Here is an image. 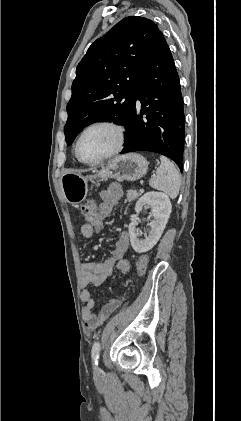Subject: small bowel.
<instances>
[{
  "mask_svg": "<svg viewBox=\"0 0 241 421\" xmlns=\"http://www.w3.org/2000/svg\"><path fill=\"white\" fill-rule=\"evenodd\" d=\"M122 195V188L115 184L100 193L101 202L98 205L97 213L102 220L110 216ZM80 233L86 239L95 237L93 228L87 223L81 225ZM128 248L129 237L126 232H122L106 260L103 262H85L81 266L80 286L81 299L84 302L83 320L89 330H95L103 324L119 306L120 300H111L96 313L95 301L89 293L88 286H99L104 283L112 274L116 263L124 257Z\"/></svg>",
  "mask_w": 241,
  "mask_h": 421,
  "instance_id": "obj_1",
  "label": "small bowel"
}]
</instances>
